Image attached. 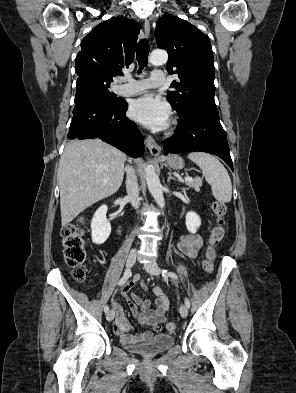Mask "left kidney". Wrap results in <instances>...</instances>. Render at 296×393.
Segmentation results:
<instances>
[{
	"instance_id": "5707ae66",
	"label": "left kidney",
	"mask_w": 296,
	"mask_h": 393,
	"mask_svg": "<svg viewBox=\"0 0 296 393\" xmlns=\"http://www.w3.org/2000/svg\"><path fill=\"white\" fill-rule=\"evenodd\" d=\"M200 225L201 219L197 213L190 211L186 214V227L190 233H196Z\"/></svg>"
}]
</instances>
